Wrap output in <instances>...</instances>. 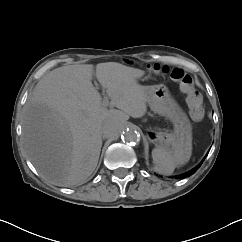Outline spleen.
<instances>
[{"mask_svg": "<svg viewBox=\"0 0 242 242\" xmlns=\"http://www.w3.org/2000/svg\"><path fill=\"white\" fill-rule=\"evenodd\" d=\"M152 158L155 170L165 175L172 174L177 165L187 162L180 159L179 152H170L160 148L152 150Z\"/></svg>", "mask_w": 242, "mask_h": 242, "instance_id": "spleen-1", "label": "spleen"}]
</instances>
